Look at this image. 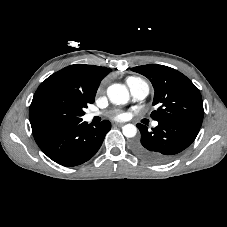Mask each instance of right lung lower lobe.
I'll list each match as a JSON object with an SVG mask.
<instances>
[{
  "label": "right lung lower lobe",
  "instance_id": "98d812e1",
  "mask_svg": "<svg viewBox=\"0 0 227 227\" xmlns=\"http://www.w3.org/2000/svg\"><path fill=\"white\" fill-rule=\"evenodd\" d=\"M111 129L105 120L93 127L87 122L74 121L53 127L32 130L40 149L56 163L72 167L92 158Z\"/></svg>",
  "mask_w": 227,
  "mask_h": 227
}]
</instances>
